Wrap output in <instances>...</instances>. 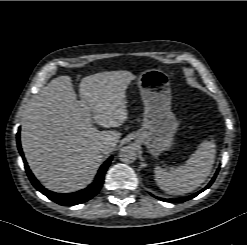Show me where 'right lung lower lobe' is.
<instances>
[{"label":"right lung lower lobe","instance_id":"obj_1","mask_svg":"<svg viewBox=\"0 0 247 245\" xmlns=\"http://www.w3.org/2000/svg\"><path fill=\"white\" fill-rule=\"evenodd\" d=\"M17 145H18L19 152H20L21 156L23 157V152H22L21 145H20V133L19 132L17 133ZM23 160H24L26 172H27L28 177H29L31 183L33 184V186L38 191H40L42 194L47 196L50 200H52V201H54L60 205L67 206V205H77V204L86 202V201L90 200L91 198H93L99 192V190L101 189L103 182H104L105 172H106L108 166L110 165L112 157H110L100 167L98 174L96 175V178L92 184H90L87 188H85L83 190H80V191H77L74 193H69V194L55 193V192H51V191L45 189L38 182V180L34 177V175L30 171L24 158H23Z\"/></svg>","mask_w":247,"mask_h":245}]
</instances>
